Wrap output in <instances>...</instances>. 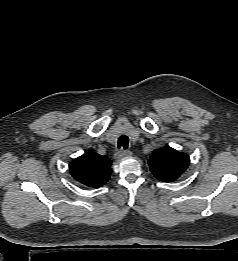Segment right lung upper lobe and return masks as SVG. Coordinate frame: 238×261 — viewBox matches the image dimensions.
Wrapping results in <instances>:
<instances>
[{"label": "right lung upper lobe", "mask_w": 238, "mask_h": 261, "mask_svg": "<svg viewBox=\"0 0 238 261\" xmlns=\"http://www.w3.org/2000/svg\"><path fill=\"white\" fill-rule=\"evenodd\" d=\"M69 169L76 181L89 187L99 188L110 178L111 160L90 151L70 162Z\"/></svg>", "instance_id": "1"}]
</instances>
